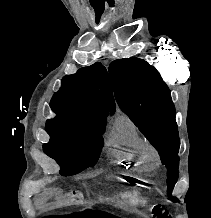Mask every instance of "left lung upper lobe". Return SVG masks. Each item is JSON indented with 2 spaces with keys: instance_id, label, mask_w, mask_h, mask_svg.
I'll use <instances>...</instances> for the list:
<instances>
[{
  "instance_id": "5c2ea615",
  "label": "left lung upper lobe",
  "mask_w": 211,
  "mask_h": 218,
  "mask_svg": "<svg viewBox=\"0 0 211 218\" xmlns=\"http://www.w3.org/2000/svg\"><path fill=\"white\" fill-rule=\"evenodd\" d=\"M109 74L120 108L158 150L167 168V194L171 196L178 178L179 136L175 107L168 86L159 72L139 58L110 63Z\"/></svg>"
}]
</instances>
